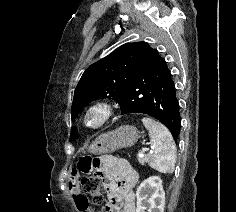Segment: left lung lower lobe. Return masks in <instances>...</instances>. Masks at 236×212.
Masks as SVG:
<instances>
[{"instance_id":"left-lung-lower-lobe-1","label":"left lung lower lobe","mask_w":236,"mask_h":212,"mask_svg":"<svg viewBox=\"0 0 236 212\" xmlns=\"http://www.w3.org/2000/svg\"><path fill=\"white\" fill-rule=\"evenodd\" d=\"M118 103L122 114L142 113L159 120L177 141L181 117L175 84L166 61L156 49L148 47Z\"/></svg>"}]
</instances>
